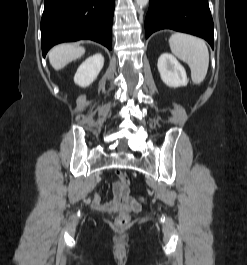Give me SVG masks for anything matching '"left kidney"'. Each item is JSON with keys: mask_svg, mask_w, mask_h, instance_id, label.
Returning a JSON list of instances; mask_svg holds the SVG:
<instances>
[{"mask_svg": "<svg viewBox=\"0 0 247 265\" xmlns=\"http://www.w3.org/2000/svg\"><path fill=\"white\" fill-rule=\"evenodd\" d=\"M158 71L162 81L169 87L177 88L188 83L184 67L169 53H163L158 59Z\"/></svg>", "mask_w": 247, "mask_h": 265, "instance_id": "left-kidney-1", "label": "left kidney"}]
</instances>
